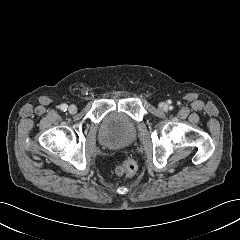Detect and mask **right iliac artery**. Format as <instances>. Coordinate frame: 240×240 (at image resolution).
Here are the masks:
<instances>
[{
    "instance_id": "obj_1",
    "label": "right iliac artery",
    "mask_w": 240,
    "mask_h": 240,
    "mask_svg": "<svg viewBox=\"0 0 240 240\" xmlns=\"http://www.w3.org/2000/svg\"><path fill=\"white\" fill-rule=\"evenodd\" d=\"M67 108H68V106H67L66 104H62V105L60 106V109H61L62 111H66Z\"/></svg>"
}]
</instances>
